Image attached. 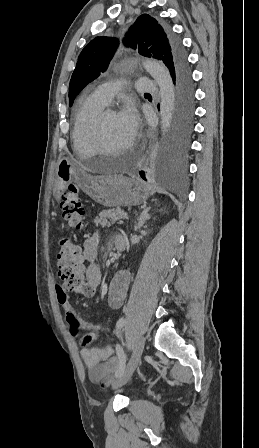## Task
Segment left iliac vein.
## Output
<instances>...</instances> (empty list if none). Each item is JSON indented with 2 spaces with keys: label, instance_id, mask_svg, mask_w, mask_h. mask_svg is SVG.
Returning a JSON list of instances; mask_svg holds the SVG:
<instances>
[{
  "label": "left iliac vein",
  "instance_id": "left-iliac-vein-1",
  "mask_svg": "<svg viewBox=\"0 0 259 448\" xmlns=\"http://www.w3.org/2000/svg\"><path fill=\"white\" fill-rule=\"evenodd\" d=\"M144 345H145V338L139 337L135 343L133 354L129 360L126 370L116 380V382L113 385L114 388H119V387L125 385L129 381V379L131 378L133 372L135 371V369L140 361V358H141L143 350H144Z\"/></svg>",
  "mask_w": 259,
  "mask_h": 448
}]
</instances>
